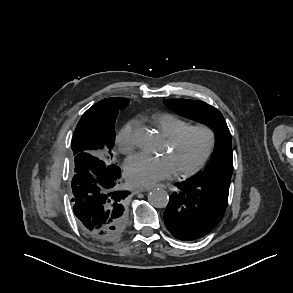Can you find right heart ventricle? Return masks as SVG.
<instances>
[{
	"mask_svg": "<svg viewBox=\"0 0 293 293\" xmlns=\"http://www.w3.org/2000/svg\"><path fill=\"white\" fill-rule=\"evenodd\" d=\"M152 122L167 139L190 125L187 120L170 113L154 114L152 116Z\"/></svg>",
	"mask_w": 293,
	"mask_h": 293,
	"instance_id": "1",
	"label": "right heart ventricle"
}]
</instances>
